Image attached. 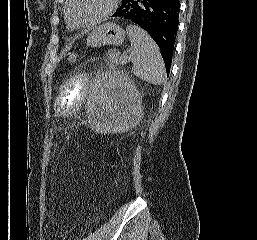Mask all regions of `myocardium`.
Returning a JSON list of instances; mask_svg holds the SVG:
<instances>
[{"label": "myocardium", "instance_id": "f54148a6", "mask_svg": "<svg viewBox=\"0 0 257 240\" xmlns=\"http://www.w3.org/2000/svg\"><path fill=\"white\" fill-rule=\"evenodd\" d=\"M72 1L73 0H66L65 17H66L69 25L76 29L89 28V27H92V26L102 22L115 10L117 3H118V0H110L108 7L101 14H99L98 16H96L95 18H93L92 20H90L86 23L80 24V23H76L70 15V6H71Z\"/></svg>", "mask_w": 257, "mask_h": 240}]
</instances>
